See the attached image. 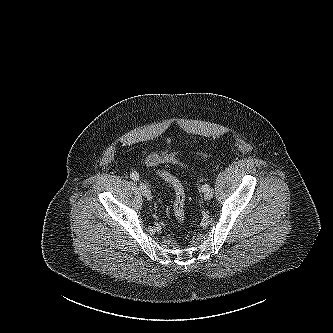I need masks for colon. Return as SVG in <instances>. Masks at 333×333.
<instances>
[{
	"label": "colon",
	"instance_id": "colon-1",
	"mask_svg": "<svg viewBox=\"0 0 333 333\" xmlns=\"http://www.w3.org/2000/svg\"><path fill=\"white\" fill-rule=\"evenodd\" d=\"M203 156L207 157V155ZM157 174L173 187L175 193L173 206L174 215L179 223H183L185 220V191L181 182L179 179L165 170H158Z\"/></svg>",
	"mask_w": 333,
	"mask_h": 333
}]
</instances>
